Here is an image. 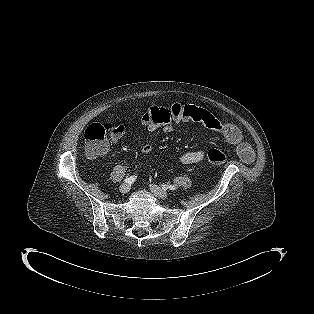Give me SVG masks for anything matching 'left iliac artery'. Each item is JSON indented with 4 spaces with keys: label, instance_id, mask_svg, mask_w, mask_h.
<instances>
[{
    "label": "left iliac artery",
    "instance_id": "left-iliac-artery-1",
    "mask_svg": "<svg viewBox=\"0 0 314 314\" xmlns=\"http://www.w3.org/2000/svg\"><path fill=\"white\" fill-rule=\"evenodd\" d=\"M162 186L164 189H170L173 191L177 189L176 186H174V185H162Z\"/></svg>",
    "mask_w": 314,
    "mask_h": 314
}]
</instances>
